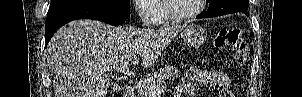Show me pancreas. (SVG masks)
Instances as JSON below:
<instances>
[{
  "instance_id": "cf45deb5",
  "label": "pancreas",
  "mask_w": 302,
  "mask_h": 97,
  "mask_svg": "<svg viewBox=\"0 0 302 97\" xmlns=\"http://www.w3.org/2000/svg\"><path fill=\"white\" fill-rule=\"evenodd\" d=\"M180 71L172 66L166 65L159 72L154 73L149 77L144 83L137 86V97H151L150 85L156 84L160 85L164 83L165 80H171L179 77Z\"/></svg>"
}]
</instances>
